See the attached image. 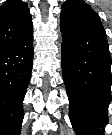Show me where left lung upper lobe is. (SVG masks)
<instances>
[{"label":"left lung upper lobe","mask_w":112,"mask_h":135,"mask_svg":"<svg viewBox=\"0 0 112 135\" xmlns=\"http://www.w3.org/2000/svg\"><path fill=\"white\" fill-rule=\"evenodd\" d=\"M61 18L76 24L103 28L97 13L83 0H67L64 2Z\"/></svg>","instance_id":"obj_1"}]
</instances>
